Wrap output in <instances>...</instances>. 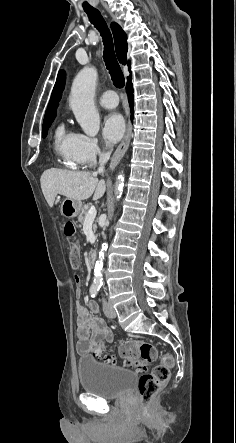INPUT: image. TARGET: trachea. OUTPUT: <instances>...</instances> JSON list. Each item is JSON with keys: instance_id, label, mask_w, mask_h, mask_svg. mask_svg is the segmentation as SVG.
<instances>
[{"instance_id": "3493384b", "label": "trachea", "mask_w": 236, "mask_h": 443, "mask_svg": "<svg viewBox=\"0 0 236 443\" xmlns=\"http://www.w3.org/2000/svg\"><path fill=\"white\" fill-rule=\"evenodd\" d=\"M85 12L88 14L90 22L94 24V26L99 30L103 38V58L106 68L109 70V73L111 75L113 84L117 88H123L125 84V79L115 55L113 39L110 30L108 29L106 22L97 9H85Z\"/></svg>"}]
</instances>
